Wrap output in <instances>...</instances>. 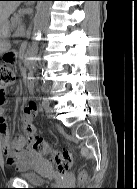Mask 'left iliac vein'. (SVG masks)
Listing matches in <instances>:
<instances>
[{
    "instance_id": "left-iliac-vein-1",
    "label": "left iliac vein",
    "mask_w": 137,
    "mask_h": 189,
    "mask_svg": "<svg viewBox=\"0 0 137 189\" xmlns=\"http://www.w3.org/2000/svg\"><path fill=\"white\" fill-rule=\"evenodd\" d=\"M45 113L48 117H50L53 113V108L50 107L49 105H45Z\"/></svg>"
}]
</instances>
